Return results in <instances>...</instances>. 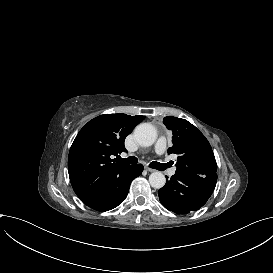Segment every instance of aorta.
<instances>
[{
  "label": "aorta",
  "instance_id": "obj_1",
  "mask_svg": "<svg viewBox=\"0 0 273 273\" xmlns=\"http://www.w3.org/2000/svg\"><path fill=\"white\" fill-rule=\"evenodd\" d=\"M136 142L143 147L151 146L157 138V132L153 125L141 123L134 130ZM149 183L153 188L160 189L164 187L166 178L161 172H153L149 176Z\"/></svg>",
  "mask_w": 273,
  "mask_h": 273
}]
</instances>
